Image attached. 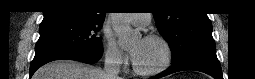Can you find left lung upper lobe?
Here are the masks:
<instances>
[{
	"label": "left lung upper lobe",
	"mask_w": 255,
	"mask_h": 79,
	"mask_svg": "<svg viewBox=\"0 0 255 79\" xmlns=\"http://www.w3.org/2000/svg\"><path fill=\"white\" fill-rule=\"evenodd\" d=\"M153 15L159 32L171 47L172 64L200 51L215 50L212 24L207 14L180 10L169 12L165 9L157 10Z\"/></svg>",
	"instance_id": "1"
}]
</instances>
